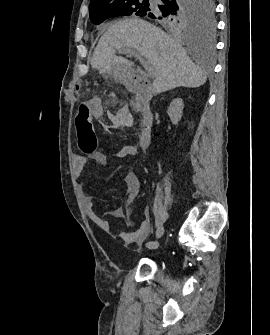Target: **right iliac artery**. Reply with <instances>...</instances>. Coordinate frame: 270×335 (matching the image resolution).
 Masks as SVG:
<instances>
[{
    "mask_svg": "<svg viewBox=\"0 0 270 335\" xmlns=\"http://www.w3.org/2000/svg\"><path fill=\"white\" fill-rule=\"evenodd\" d=\"M158 246H159V243L155 241H149L146 243V247L149 249H156Z\"/></svg>",
    "mask_w": 270,
    "mask_h": 335,
    "instance_id": "1",
    "label": "right iliac artery"
}]
</instances>
